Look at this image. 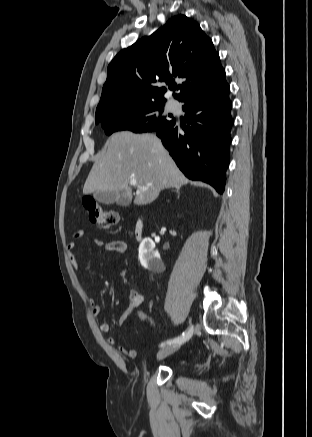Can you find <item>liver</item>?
Returning a JSON list of instances; mask_svg holds the SVG:
<instances>
[{"label": "liver", "instance_id": "6515ba94", "mask_svg": "<svg viewBox=\"0 0 312 437\" xmlns=\"http://www.w3.org/2000/svg\"><path fill=\"white\" fill-rule=\"evenodd\" d=\"M131 180L137 184L131 185ZM187 183L188 179L156 135L124 131L108 139L107 152L94 163L83 193L114 192L117 198L132 199L134 187L137 188L134 204L146 205L153 202L161 190Z\"/></svg>", "mask_w": 312, "mask_h": 437}]
</instances>
